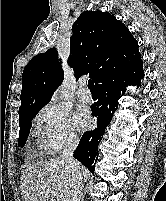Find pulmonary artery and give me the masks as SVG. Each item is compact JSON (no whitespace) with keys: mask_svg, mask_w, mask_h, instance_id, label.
Returning a JSON list of instances; mask_svg holds the SVG:
<instances>
[{"mask_svg":"<svg viewBox=\"0 0 166 201\" xmlns=\"http://www.w3.org/2000/svg\"><path fill=\"white\" fill-rule=\"evenodd\" d=\"M77 97L80 101L86 102V103L92 100V95L89 89L87 88V85L85 82H82L80 84V87L77 91Z\"/></svg>","mask_w":166,"mask_h":201,"instance_id":"e3ab8cb5","label":"pulmonary artery"}]
</instances>
